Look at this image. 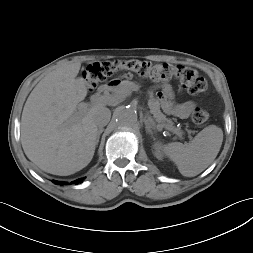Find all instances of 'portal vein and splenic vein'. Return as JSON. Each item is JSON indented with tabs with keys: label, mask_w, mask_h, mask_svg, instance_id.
Wrapping results in <instances>:
<instances>
[{
	"label": "portal vein and splenic vein",
	"mask_w": 253,
	"mask_h": 253,
	"mask_svg": "<svg viewBox=\"0 0 253 253\" xmlns=\"http://www.w3.org/2000/svg\"><path fill=\"white\" fill-rule=\"evenodd\" d=\"M100 100L102 101L103 98H100ZM111 100H112V99H111ZM88 107H89V104H88V103H84V102L80 103V104L78 105L77 116H75V117L73 118V120H77V119L79 118L80 115L84 114V113L88 110ZM175 133H176L177 135L180 134V132H178V131H175Z\"/></svg>",
	"instance_id": "obj_1"
}]
</instances>
